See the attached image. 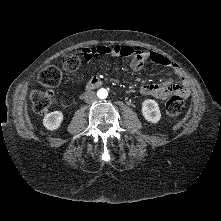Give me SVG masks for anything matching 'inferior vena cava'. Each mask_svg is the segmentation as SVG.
<instances>
[{"instance_id": "obj_1", "label": "inferior vena cava", "mask_w": 221, "mask_h": 221, "mask_svg": "<svg viewBox=\"0 0 221 221\" xmlns=\"http://www.w3.org/2000/svg\"><path fill=\"white\" fill-rule=\"evenodd\" d=\"M84 100L86 103H94L97 101V95L94 91H88L84 94Z\"/></svg>"}]
</instances>
